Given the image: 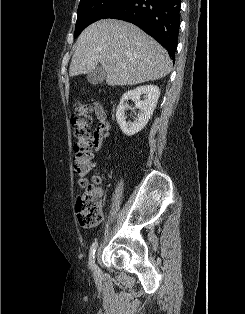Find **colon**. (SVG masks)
<instances>
[{"label":"colon","mask_w":245,"mask_h":314,"mask_svg":"<svg viewBox=\"0 0 245 314\" xmlns=\"http://www.w3.org/2000/svg\"><path fill=\"white\" fill-rule=\"evenodd\" d=\"M95 102L92 99L78 103L72 116L75 126L74 135V168L78 177V184L83 191L78 195L76 201L77 219L81 227L91 229L101 220L102 193L93 183H89L88 174L95 168L92 162L93 145L91 143V111ZM92 181H99L93 176Z\"/></svg>","instance_id":"5ec220e1"}]
</instances>
